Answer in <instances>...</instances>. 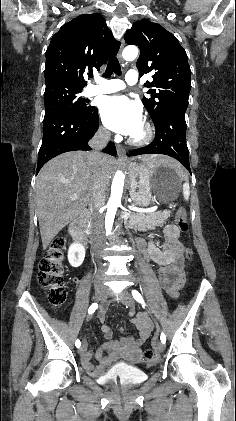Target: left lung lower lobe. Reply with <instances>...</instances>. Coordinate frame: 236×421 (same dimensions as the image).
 I'll list each match as a JSON object with an SVG mask.
<instances>
[{"mask_svg":"<svg viewBox=\"0 0 236 421\" xmlns=\"http://www.w3.org/2000/svg\"><path fill=\"white\" fill-rule=\"evenodd\" d=\"M186 109L172 107L154 122L156 135L154 141L143 148L130 151L128 156L142 154H164L180 161L191 173L189 151L186 144Z\"/></svg>","mask_w":236,"mask_h":421,"instance_id":"left-lung-lower-lobe-1","label":"left lung lower lobe"}]
</instances>
